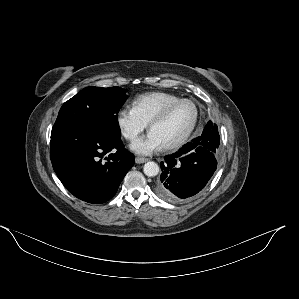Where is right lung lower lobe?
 <instances>
[{
    "label": "right lung lower lobe",
    "instance_id": "98d812e1",
    "mask_svg": "<svg viewBox=\"0 0 299 299\" xmlns=\"http://www.w3.org/2000/svg\"><path fill=\"white\" fill-rule=\"evenodd\" d=\"M50 158L65 188L93 204L111 199L134 164L120 137L86 131L51 138Z\"/></svg>",
    "mask_w": 299,
    "mask_h": 299
}]
</instances>
